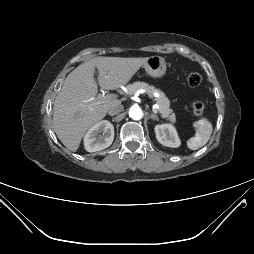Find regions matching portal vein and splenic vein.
I'll return each instance as SVG.
<instances>
[{
  "label": "portal vein and splenic vein",
  "instance_id": "1",
  "mask_svg": "<svg viewBox=\"0 0 254 254\" xmlns=\"http://www.w3.org/2000/svg\"><path fill=\"white\" fill-rule=\"evenodd\" d=\"M115 96L113 94H108V95H105V94H99L95 99H93V103L94 104H102V103H106V102H109L110 100H112ZM158 105H153V111L155 113H157V109H158Z\"/></svg>",
  "mask_w": 254,
  "mask_h": 254
}]
</instances>
